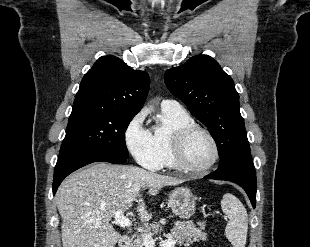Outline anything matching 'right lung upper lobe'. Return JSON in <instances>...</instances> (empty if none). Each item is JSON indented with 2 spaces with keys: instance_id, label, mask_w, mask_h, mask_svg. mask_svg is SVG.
Wrapping results in <instances>:
<instances>
[{
  "instance_id": "cb5924a9",
  "label": "right lung upper lobe",
  "mask_w": 310,
  "mask_h": 247,
  "mask_svg": "<svg viewBox=\"0 0 310 247\" xmlns=\"http://www.w3.org/2000/svg\"><path fill=\"white\" fill-rule=\"evenodd\" d=\"M150 86L146 72L130 69L120 58L100 57L84 75L72 110H107L136 115Z\"/></svg>"
}]
</instances>
